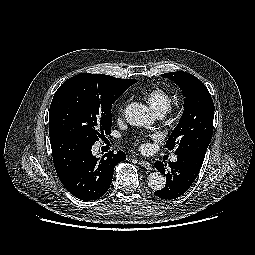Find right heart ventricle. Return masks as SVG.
<instances>
[{"mask_svg": "<svg viewBox=\"0 0 255 255\" xmlns=\"http://www.w3.org/2000/svg\"><path fill=\"white\" fill-rule=\"evenodd\" d=\"M145 101L157 113L164 114L172 103L170 93L163 88H154L144 94Z\"/></svg>", "mask_w": 255, "mask_h": 255, "instance_id": "e07e8e85", "label": "right heart ventricle"}]
</instances>
